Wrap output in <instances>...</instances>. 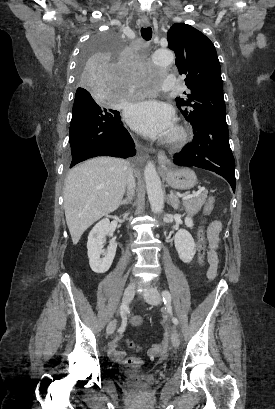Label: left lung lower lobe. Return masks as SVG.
Returning <instances> with one entry per match:
<instances>
[{
	"mask_svg": "<svg viewBox=\"0 0 275 409\" xmlns=\"http://www.w3.org/2000/svg\"><path fill=\"white\" fill-rule=\"evenodd\" d=\"M193 131V141L173 156V162L213 171L224 177L235 191V161L229 145L227 123L209 120Z\"/></svg>",
	"mask_w": 275,
	"mask_h": 409,
	"instance_id": "obj_1",
	"label": "left lung lower lobe"
}]
</instances>
